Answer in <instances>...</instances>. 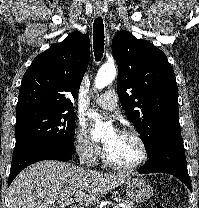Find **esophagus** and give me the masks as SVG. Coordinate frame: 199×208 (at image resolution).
<instances>
[{
	"label": "esophagus",
	"mask_w": 199,
	"mask_h": 208,
	"mask_svg": "<svg viewBox=\"0 0 199 208\" xmlns=\"http://www.w3.org/2000/svg\"><path fill=\"white\" fill-rule=\"evenodd\" d=\"M95 12H96V14H98V15H102L103 9H102L101 7H97V8L95 9Z\"/></svg>",
	"instance_id": "1"
}]
</instances>
